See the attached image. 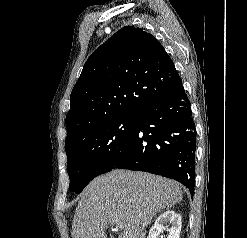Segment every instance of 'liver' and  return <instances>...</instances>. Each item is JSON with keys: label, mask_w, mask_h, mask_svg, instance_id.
I'll use <instances>...</instances> for the list:
<instances>
[{"label": "liver", "mask_w": 247, "mask_h": 238, "mask_svg": "<svg viewBox=\"0 0 247 238\" xmlns=\"http://www.w3.org/2000/svg\"><path fill=\"white\" fill-rule=\"evenodd\" d=\"M175 181L150 173L113 170L83 190L72 224V238H107L108 225L120 223L119 238H144V229L162 209L182 200Z\"/></svg>", "instance_id": "liver-1"}]
</instances>
